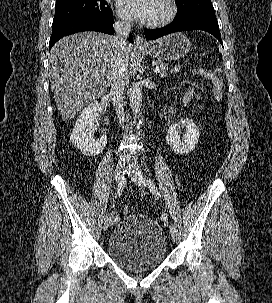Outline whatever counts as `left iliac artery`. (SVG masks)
Segmentation results:
<instances>
[{
  "mask_svg": "<svg viewBox=\"0 0 272 303\" xmlns=\"http://www.w3.org/2000/svg\"><path fill=\"white\" fill-rule=\"evenodd\" d=\"M147 184L148 187L150 189V191L157 197L160 198V194L155 186V184L153 183V181L151 180V178L147 177ZM167 224L170 225L169 228L172 230H176L175 226L173 225V221L172 220H168Z\"/></svg>",
  "mask_w": 272,
  "mask_h": 303,
  "instance_id": "left-iliac-artery-1",
  "label": "left iliac artery"
}]
</instances>
